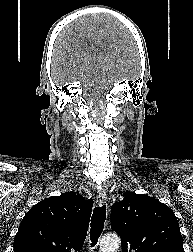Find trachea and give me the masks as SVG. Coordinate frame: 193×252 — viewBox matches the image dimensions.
<instances>
[{"mask_svg": "<svg viewBox=\"0 0 193 252\" xmlns=\"http://www.w3.org/2000/svg\"><path fill=\"white\" fill-rule=\"evenodd\" d=\"M106 220V206L95 207L91 218L90 240L91 247H94L104 228Z\"/></svg>", "mask_w": 193, "mask_h": 252, "instance_id": "3493384b", "label": "trachea"}]
</instances>
